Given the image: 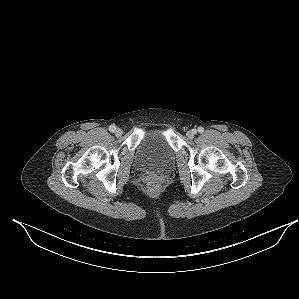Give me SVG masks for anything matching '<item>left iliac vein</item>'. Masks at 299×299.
<instances>
[{
    "mask_svg": "<svg viewBox=\"0 0 299 299\" xmlns=\"http://www.w3.org/2000/svg\"><path fill=\"white\" fill-rule=\"evenodd\" d=\"M196 130L195 129H192V130H190V131H188L187 132V137L189 138V139H193V137H194V135L196 134Z\"/></svg>",
    "mask_w": 299,
    "mask_h": 299,
    "instance_id": "4c4485c4",
    "label": "left iliac vein"
}]
</instances>
